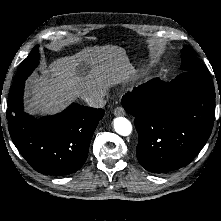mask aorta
<instances>
[{"label": "aorta", "mask_w": 221, "mask_h": 221, "mask_svg": "<svg viewBox=\"0 0 221 221\" xmlns=\"http://www.w3.org/2000/svg\"><path fill=\"white\" fill-rule=\"evenodd\" d=\"M113 127L115 132L122 136H128L132 132V125L125 117H117L113 120Z\"/></svg>", "instance_id": "aorta-1"}]
</instances>
